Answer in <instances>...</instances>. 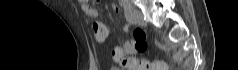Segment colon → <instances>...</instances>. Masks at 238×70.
I'll return each mask as SVG.
<instances>
[{"label": "colon", "instance_id": "colon-1", "mask_svg": "<svg viewBox=\"0 0 238 70\" xmlns=\"http://www.w3.org/2000/svg\"><path fill=\"white\" fill-rule=\"evenodd\" d=\"M146 33L142 29H136L133 32V38L135 40V48L138 51H144L147 48L145 42ZM114 59H119L123 68L128 70H165L167 63L151 62L147 59H137L130 57V54H123L122 45L118 42L114 45Z\"/></svg>", "mask_w": 238, "mask_h": 70}]
</instances>
